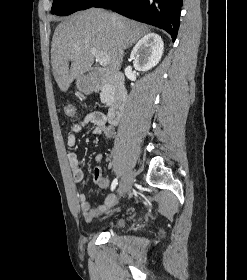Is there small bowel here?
<instances>
[{
    "label": "small bowel",
    "instance_id": "small-bowel-1",
    "mask_svg": "<svg viewBox=\"0 0 247 280\" xmlns=\"http://www.w3.org/2000/svg\"><path fill=\"white\" fill-rule=\"evenodd\" d=\"M89 125L92 126V133L95 135L103 134L108 138H112L115 134L114 128L108 124L107 117L103 113L98 111L91 112L78 119L72 125L67 137L68 147L73 148L76 145L77 134ZM102 158V155L98 154L96 155L95 160L97 163H100ZM68 160L73 180L77 183L81 182L84 178V173L77 154L74 152L69 153ZM93 180L101 189L105 190L109 186V180L103 175L102 168L100 166H96L94 168ZM77 199L83 217L86 221H92L113 208L117 203L116 197L113 195L107 196L95 208L90 206L85 194L79 193Z\"/></svg>",
    "mask_w": 247,
    "mask_h": 280
}]
</instances>
